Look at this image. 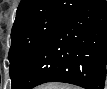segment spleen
<instances>
[{"label":"spleen","mask_w":107,"mask_h":89,"mask_svg":"<svg viewBox=\"0 0 107 89\" xmlns=\"http://www.w3.org/2000/svg\"><path fill=\"white\" fill-rule=\"evenodd\" d=\"M55 89H76L75 87L69 85L58 84L54 87Z\"/></svg>","instance_id":"1"}]
</instances>
